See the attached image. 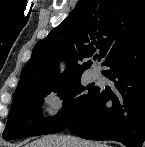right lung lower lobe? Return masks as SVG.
<instances>
[{"instance_id":"obj_1","label":"right lung lower lobe","mask_w":145,"mask_h":147,"mask_svg":"<svg viewBox=\"0 0 145 147\" xmlns=\"http://www.w3.org/2000/svg\"><path fill=\"white\" fill-rule=\"evenodd\" d=\"M112 88L98 87L66 129L87 140H114L126 147L145 141V30L104 64Z\"/></svg>"}]
</instances>
